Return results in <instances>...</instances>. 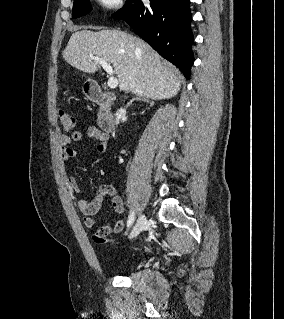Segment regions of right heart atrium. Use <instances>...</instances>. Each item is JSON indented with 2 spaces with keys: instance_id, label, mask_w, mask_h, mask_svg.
Masks as SVG:
<instances>
[{
  "instance_id": "d8ad5b80",
  "label": "right heart atrium",
  "mask_w": 284,
  "mask_h": 319,
  "mask_svg": "<svg viewBox=\"0 0 284 319\" xmlns=\"http://www.w3.org/2000/svg\"><path fill=\"white\" fill-rule=\"evenodd\" d=\"M95 2L106 12L118 11L123 6V0H95Z\"/></svg>"
}]
</instances>
